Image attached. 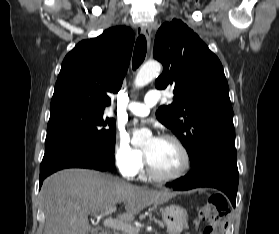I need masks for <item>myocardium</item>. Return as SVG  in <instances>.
<instances>
[{"label": "myocardium", "instance_id": "f54148a6", "mask_svg": "<svg viewBox=\"0 0 279 234\" xmlns=\"http://www.w3.org/2000/svg\"><path fill=\"white\" fill-rule=\"evenodd\" d=\"M158 139L171 141L177 145V147L180 149L182 156H183V165L180 168V170L174 175H170V176L160 175L154 170V168L152 167V165L150 163L147 153L144 151V164H145V169H146L147 175L152 180L160 182V183H173V182H176V181L182 179L188 173V171L190 170V167H191V156H190L188 148L186 147V145L183 143V141L181 139H179L178 137H176L174 135L165 134V135L160 136Z\"/></svg>", "mask_w": 279, "mask_h": 234}]
</instances>
